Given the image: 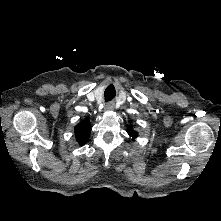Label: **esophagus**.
I'll return each instance as SVG.
<instances>
[{
    "mask_svg": "<svg viewBox=\"0 0 221 221\" xmlns=\"http://www.w3.org/2000/svg\"><path fill=\"white\" fill-rule=\"evenodd\" d=\"M106 110L110 111L114 109V103L113 102H108L105 106Z\"/></svg>",
    "mask_w": 221,
    "mask_h": 221,
    "instance_id": "esophagus-1",
    "label": "esophagus"
}]
</instances>
